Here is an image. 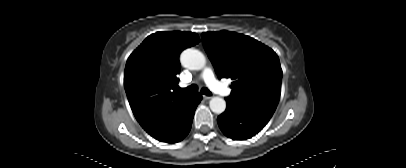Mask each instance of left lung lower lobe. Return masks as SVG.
I'll list each match as a JSON object with an SVG mask.
<instances>
[{
  "instance_id": "0a47b994",
  "label": "left lung lower lobe",
  "mask_w": 406,
  "mask_h": 168,
  "mask_svg": "<svg viewBox=\"0 0 406 168\" xmlns=\"http://www.w3.org/2000/svg\"><path fill=\"white\" fill-rule=\"evenodd\" d=\"M227 108L217 122L222 132L234 140H245L260 132L272 117V111L226 98Z\"/></svg>"
}]
</instances>
